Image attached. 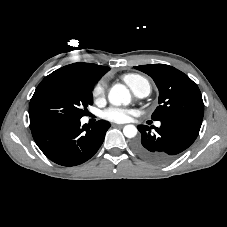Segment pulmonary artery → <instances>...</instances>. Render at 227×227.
Segmentation results:
<instances>
[{
	"label": "pulmonary artery",
	"mask_w": 227,
	"mask_h": 227,
	"mask_svg": "<svg viewBox=\"0 0 227 227\" xmlns=\"http://www.w3.org/2000/svg\"><path fill=\"white\" fill-rule=\"evenodd\" d=\"M148 94H149V93L147 92L146 89H142V90H140V91H138V92L135 93V95L138 96V97H145V96H147ZM158 125H159V124H158Z\"/></svg>",
	"instance_id": "pulmonary-artery-1"
}]
</instances>
